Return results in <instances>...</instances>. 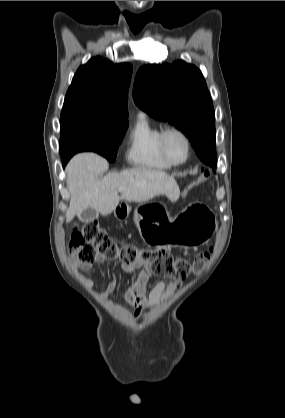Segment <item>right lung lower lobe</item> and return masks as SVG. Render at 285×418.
Instances as JSON below:
<instances>
[{"label":"right lung lower lobe","instance_id":"1","mask_svg":"<svg viewBox=\"0 0 285 418\" xmlns=\"http://www.w3.org/2000/svg\"><path fill=\"white\" fill-rule=\"evenodd\" d=\"M69 159H70V158H66V159L62 160V162H63V167H65V165L67 164V162L69 161Z\"/></svg>","mask_w":285,"mask_h":418}]
</instances>
